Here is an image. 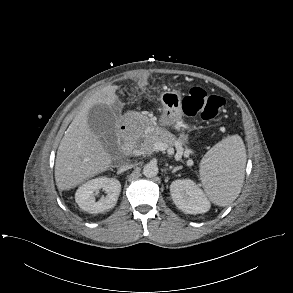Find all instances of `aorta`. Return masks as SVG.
Segmentation results:
<instances>
[{
    "mask_svg": "<svg viewBox=\"0 0 293 293\" xmlns=\"http://www.w3.org/2000/svg\"><path fill=\"white\" fill-rule=\"evenodd\" d=\"M158 166L155 162L147 163L143 168V174L147 178H153L158 174Z\"/></svg>",
    "mask_w": 293,
    "mask_h": 293,
    "instance_id": "aorta-1",
    "label": "aorta"
}]
</instances>
